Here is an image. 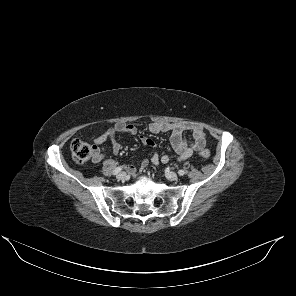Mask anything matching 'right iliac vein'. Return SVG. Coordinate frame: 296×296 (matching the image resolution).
Returning <instances> with one entry per match:
<instances>
[{
  "instance_id": "right-iliac-vein-1",
  "label": "right iliac vein",
  "mask_w": 296,
  "mask_h": 296,
  "mask_svg": "<svg viewBox=\"0 0 296 296\" xmlns=\"http://www.w3.org/2000/svg\"><path fill=\"white\" fill-rule=\"evenodd\" d=\"M116 177L118 180H124L126 177V174L124 172H120Z\"/></svg>"
}]
</instances>
